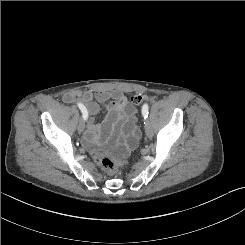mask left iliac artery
Wrapping results in <instances>:
<instances>
[{
    "mask_svg": "<svg viewBox=\"0 0 245 245\" xmlns=\"http://www.w3.org/2000/svg\"><path fill=\"white\" fill-rule=\"evenodd\" d=\"M148 104L145 103L143 106H142V115L144 117V119H146L148 117Z\"/></svg>",
    "mask_w": 245,
    "mask_h": 245,
    "instance_id": "1",
    "label": "left iliac artery"
}]
</instances>
